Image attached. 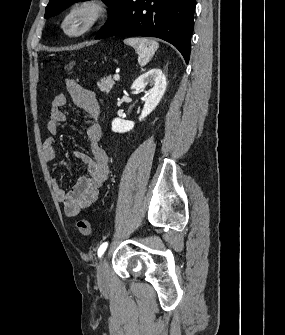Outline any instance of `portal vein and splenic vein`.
I'll return each instance as SVG.
<instances>
[{
    "mask_svg": "<svg viewBox=\"0 0 285 335\" xmlns=\"http://www.w3.org/2000/svg\"><path fill=\"white\" fill-rule=\"evenodd\" d=\"M114 80H120V76H119V74H115V76H114Z\"/></svg>",
    "mask_w": 285,
    "mask_h": 335,
    "instance_id": "18ae733b",
    "label": "portal vein and splenic vein"
}]
</instances>
